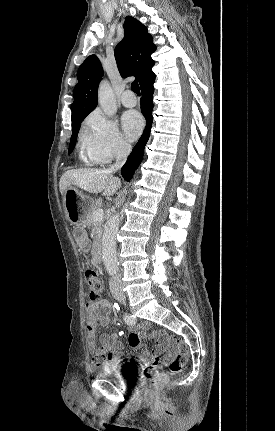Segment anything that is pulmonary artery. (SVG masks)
<instances>
[{"label":"pulmonary artery","mask_w":275,"mask_h":431,"mask_svg":"<svg viewBox=\"0 0 275 431\" xmlns=\"http://www.w3.org/2000/svg\"><path fill=\"white\" fill-rule=\"evenodd\" d=\"M121 102L125 107H134L137 104V98L130 90H126L121 96Z\"/></svg>","instance_id":"obj_1"}]
</instances>
